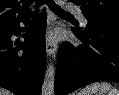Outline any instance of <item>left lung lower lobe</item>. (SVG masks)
Instances as JSON below:
<instances>
[{"label":"left lung lower lobe","instance_id":"0a47b994","mask_svg":"<svg viewBox=\"0 0 119 95\" xmlns=\"http://www.w3.org/2000/svg\"><path fill=\"white\" fill-rule=\"evenodd\" d=\"M71 29L83 43L60 46L55 95H67L97 81L119 83V27L88 22L84 30Z\"/></svg>","mask_w":119,"mask_h":95}]
</instances>
